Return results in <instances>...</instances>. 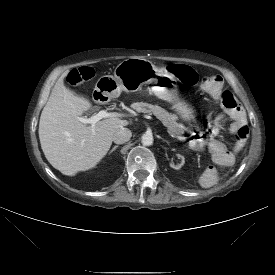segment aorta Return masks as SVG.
Instances as JSON below:
<instances>
[{"mask_svg":"<svg viewBox=\"0 0 275 275\" xmlns=\"http://www.w3.org/2000/svg\"><path fill=\"white\" fill-rule=\"evenodd\" d=\"M142 144L145 146H150L153 144V136L150 133H145L142 135Z\"/></svg>","mask_w":275,"mask_h":275,"instance_id":"762f6f07","label":"aorta"}]
</instances>
